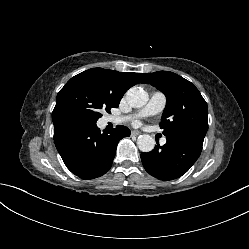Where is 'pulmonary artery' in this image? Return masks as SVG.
<instances>
[{"mask_svg": "<svg viewBox=\"0 0 249 249\" xmlns=\"http://www.w3.org/2000/svg\"><path fill=\"white\" fill-rule=\"evenodd\" d=\"M166 104V97L163 93L161 92H155L152 94L149 102L147 103V105L139 112L140 116H148V115H154L157 113H160ZM129 119V117H124V118H115V117H111L110 121L115 122V123H119L122 121H125ZM161 144H165L166 143V139L162 138L160 140Z\"/></svg>", "mask_w": 249, "mask_h": 249, "instance_id": "pulmonary-artery-1", "label": "pulmonary artery"}]
</instances>
